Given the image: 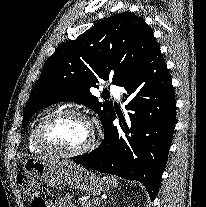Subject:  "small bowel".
<instances>
[{
    "instance_id": "obj_1",
    "label": "small bowel",
    "mask_w": 206,
    "mask_h": 207,
    "mask_svg": "<svg viewBox=\"0 0 206 207\" xmlns=\"http://www.w3.org/2000/svg\"><path fill=\"white\" fill-rule=\"evenodd\" d=\"M68 199L66 198H59L55 200H50L47 202L46 207H66ZM68 207H76L73 204H70Z\"/></svg>"
}]
</instances>
